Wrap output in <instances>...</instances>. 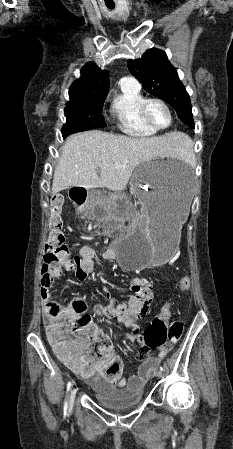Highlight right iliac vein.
<instances>
[{
    "instance_id": "obj_1",
    "label": "right iliac vein",
    "mask_w": 233,
    "mask_h": 449,
    "mask_svg": "<svg viewBox=\"0 0 233 449\" xmlns=\"http://www.w3.org/2000/svg\"><path fill=\"white\" fill-rule=\"evenodd\" d=\"M76 392H77V387L73 386L71 391H70V397H69V406L70 407H72L74 405Z\"/></svg>"
}]
</instances>
